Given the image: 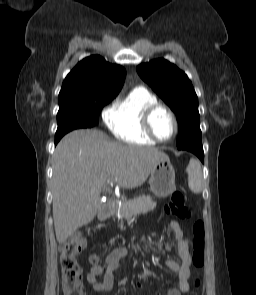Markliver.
Wrapping results in <instances>:
<instances>
[{
	"label": "liver",
	"instance_id": "liver-1",
	"mask_svg": "<svg viewBox=\"0 0 256 295\" xmlns=\"http://www.w3.org/2000/svg\"><path fill=\"white\" fill-rule=\"evenodd\" d=\"M168 156L153 147L125 145L97 129H80L58 143L53 160V219L56 238L64 243L90 223L111 182L141 186L156 164Z\"/></svg>",
	"mask_w": 256,
	"mask_h": 295
}]
</instances>
